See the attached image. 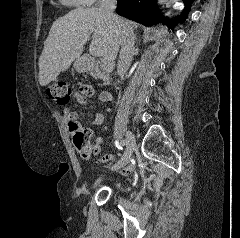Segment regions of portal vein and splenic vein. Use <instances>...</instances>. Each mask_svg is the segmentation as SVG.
<instances>
[{"instance_id":"obj_1","label":"portal vein and splenic vein","mask_w":240,"mask_h":238,"mask_svg":"<svg viewBox=\"0 0 240 238\" xmlns=\"http://www.w3.org/2000/svg\"><path fill=\"white\" fill-rule=\"evenodd\" d=\"M90 53H91V55L98 56V53L95 52V51L90 50ZM112 67H113V63H112L111 61H106V60H105V61L103 62V69H104V70L111 69Z\"/></svg>"}]
</instances>
